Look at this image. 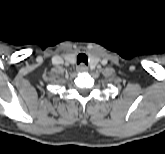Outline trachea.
Segmentation results:
<instances>
[{"mask_svg": "<svg viewBox=\"0 0 165 154\" xmlns=\"http://www.w3.org/2000/svg\"><path fill=\"white\" fill-rule=\"evenodd\" d=\"M77 63L80 64V63H84V64H87L88 63V58H87V55L84 54V53H81L77 56Z\"/></svg>", "mask_w": 165, "mask_h": 154, "instance_id": "obj_1", "label": "trachea"}]
</instances>
